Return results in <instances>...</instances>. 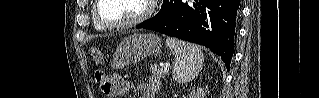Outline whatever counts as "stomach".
Here are the masks:
<instances>
[{"label": "stomach", "mask_w": 319, "mask_h": 98, "mask_svg": "<svg viewBox=\"0 0 319 98\" xmlns=\"http://www.w3.org/2000/svg\"><path fill=\"white\" fill-rule=\"evenodd\" d=\"M161 51V40L155 34H133L124 38L117 47L113 67L122 69L149 56H157Z\"/></svg>", "instance_id": "1"}]
</instances>
